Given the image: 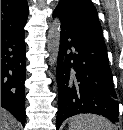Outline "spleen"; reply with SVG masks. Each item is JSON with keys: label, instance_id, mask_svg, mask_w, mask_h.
Returning a JSON list of instances; mask_svg holds the SVG:
<instances>
[{"label": "spleen", "instance_id": "3e777b00", "mask_svg": "<svg viewBox=\"0 0 123 130\" xmlns=\"http://www.w3.org/2000/svg\"><path fill=\"white\" fill-rule=\"evenodd\" d=\"M69 130H113V124L95 114H79L69 119Z\"/></svg>", "mask_w": 123, "mask_h": 130}]
</instances>
